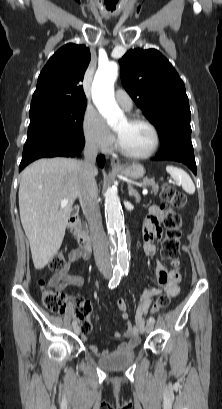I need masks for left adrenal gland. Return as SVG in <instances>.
I'll return each mask as SVG.
<instances>
[{
  "label": "left adrenal gland",
  "instance_id": "1",
  "mask_svg": "<svg viewBox=\"0 0 222 409\" xmlns=\"http://www.w3.org/2000/svg\"><path fill=\"white\" fill-rule=\"evenodd\" d=\"M128 194H129V196H134L136 203L140 202L141 197H140L139 193L137 192V190H135L134 187L131 184L128 185Z\"/></svg>",
  "mask_w": 222,
  "mask_h": 409
}]
</instances>
